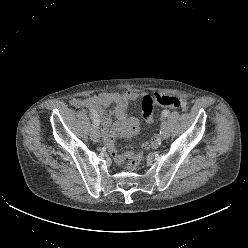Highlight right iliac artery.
Listing matches in <instances>:
<instances>
[{
	"label": "right iliac artery",
	"mask_w": 248,
	"mask_h": 248,
	"mask_svg": "<svg viewBox=\"0 0 248 248\" xmlns=\"http://www.w3.org/2000/svg\"><path fill=\"white\" fill-rule=\"evenodd\" d=\"M89 109H90V112H91L92 118H93V126L98 127L99 126V116L94 109H92V108H89Z\"/></svg>",
	"instance_id": "right-iliac-artery-1"
}]
</instances>
